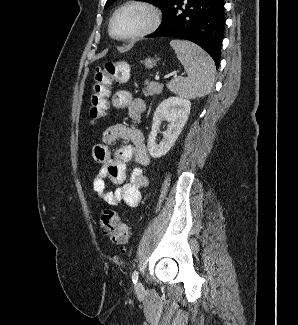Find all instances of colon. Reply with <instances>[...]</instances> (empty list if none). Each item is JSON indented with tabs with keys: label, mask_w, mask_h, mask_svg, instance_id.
<instances>
[{
	"label": "colon",
	"mask_w": 298,
	"mask_h": 325,
	"mask_svg": "<svg viewBox=\"0 0 298 325\" xmlns=\"http://www.w3.org/2000/svg\"><path fill=\"white\" fill-rule=\"evenodd\" d=\"M130 75V66L125 62H106L94 71L93 92L90 97L88 115L92 123L102 119L107 110V98L113 83H124ZM101 223L108 239L119 246L130 239L129 227L113 209L106 208L101 213Z\"/></svg>",
	"instance_id": "colon-1"
}]
</instances>
